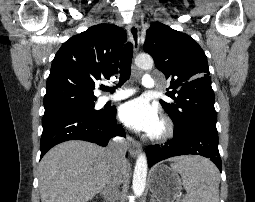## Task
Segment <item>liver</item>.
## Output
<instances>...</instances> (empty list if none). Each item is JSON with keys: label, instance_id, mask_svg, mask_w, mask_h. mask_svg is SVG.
<instances>
[{"label": "liver", "instance_id": "obj_1", "mask_svg": "<svg viewBox=\"0 0 255 202\" xmlns=\"http://www.w3.org/2000/svg\"><path fill=\"white\" fill-rule=\"evenodd\" d=\"M114 167L115 160L106 148L80 140L58 144L40 162L41 202H87L103 190ZM128 171L126 162L123 176Z\"/></svg>", "mask_w": 255, "mask_h": 202}]
</instances>
